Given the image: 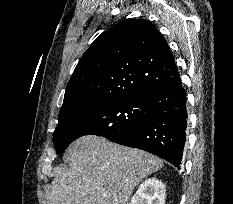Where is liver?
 Returning <instances> with one entry per match:
<instances>
[{
  "label": "liver",
  "mask_w": 233,
  "mask_h": 204,
  "mask_svg": "<svg viewBox=\"0 0 233 204\" xmlns=\"http://www.w3.org/2000/svg\"><path fill=\"white\" fill-rule=\"evenodd\" d=\"M65 158L69 169L52 181L48 204H128L135 187L163 167L150 153L96 135L74 141Z\"/></svg>",
  "instance_id": "liver-1"
}]
</instances>
